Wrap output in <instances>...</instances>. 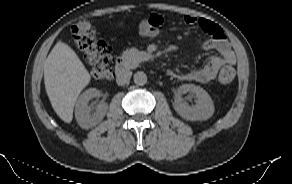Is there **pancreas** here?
I'll use <instances>...</instances> for the list:
<instances>
[{"mask_svg":"<svg viewBox=\"0 0 292 184\" xmlns=\"http://www.w3.org/2000/svg\"><path fill=\"white\" fill-rule=\"evenodd\" d=\"M122 57L127 68H135L141 61L140 52L135 48L126 49L122 53Z\"/></svg>","mask_w":292,"mask_h":184,"instance_id":"pancreas-1","label":"pancreas"}]
</instances>
